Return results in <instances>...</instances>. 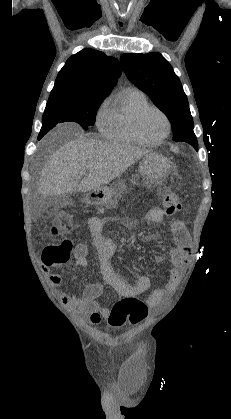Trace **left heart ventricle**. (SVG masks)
Segmentation results:
<instances>
[{
    "label": "left heart ventricle",
    "instance_id": "obj_1",
    "mask_svg": "<svg viewBox=\"0 0 231 419\" xmlns=\"http://www.w3.org/2000/svg\"><path fill=\"white\" fill-rule=\"evenodd\" d=\"M141 128L147 138L155 140L165 134L167 125L159 112L150 110L143 117Z\"/></svg>",
    "mask_w": 231,
    "mask_h": 419
}]
</instances>
